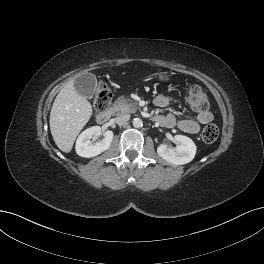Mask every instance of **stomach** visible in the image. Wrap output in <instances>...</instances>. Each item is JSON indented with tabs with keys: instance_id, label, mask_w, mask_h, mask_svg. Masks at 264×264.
<instances>
[{
	"instance_id": "obj_1",
	"label": "stomach",
	"mask_w": 264,
	"mask_h": 264,
	"mask_svg": "<svg viewBox=\"0 0 264 264\" xmlns=\"http://www.w3.org/2000/svg\"><path fill=\"white\" fill-rule=\"evenodd\" d=\"M157 78H158V80L164 81V82L171 80V76L167 72L157 73Z\"/></svg>"
}]
</instances>
